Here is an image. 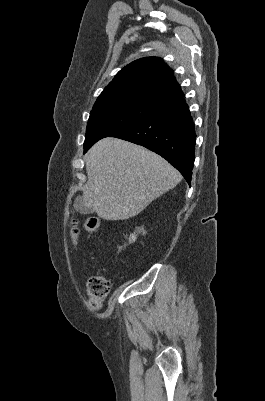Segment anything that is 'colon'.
Returning <instances> with one entry per match:
<instances>
[{"label": "colon", "mask_w": 265, "mask_h": 401, "mask_svg": "<svg viewBox=\"0 0 265 401\" xmlns=\"http://www.w3.org/2000/svg\"><path fill=\"white\" fill-rule=\"evenodd\" d=\"M85 228L88 232H95L99 228V219L90 216L85 220ZM70 237L73 246H77L79 239V226L77 221H73L70 226ZM112 288L111 281L103 275H93L87 283L88 303L93 309H98L102 301L108 296Z\"/></svg>", "instance_id": "colon-1"}]
</instances>
